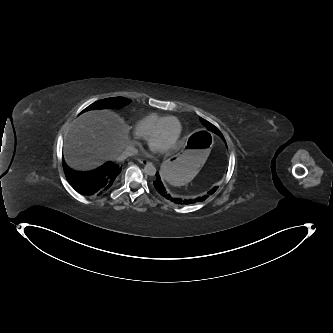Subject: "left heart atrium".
Masks as SVG:
<instances>
[{"mask_svg":"<svg viewBox=\"0 0 333 333\" xmlns=\"http://www.w3.org/2000/svg\"><path fill=\"white\" fill-rule=\"evenodd\" d=\"M151 151L154 152V153H159V152H162L163 149L155 146L154 144H152L151 145Z\"/></svg>","mask_w":333,"mask_h":333,"instance_id":"left-heart-atrium-1","label":"left heart atrium"}]
</instances>
